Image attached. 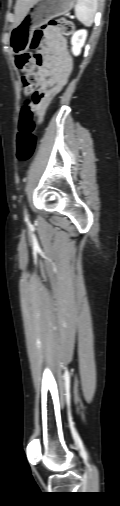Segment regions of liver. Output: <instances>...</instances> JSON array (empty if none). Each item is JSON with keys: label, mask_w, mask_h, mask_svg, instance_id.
I'll use <instances>...</instances> for the list:
<instances>
[{"label": "liver", "mask_w": 120, "mask_h": 506, "mask_svg": "<svg viewBox=\"0 0 120 506\" xmlns=\"http://www.w3.org/2000/svg\"><path fill=\"white\" fill-rule=\"evenodd\" d=\"M37 0H17L15 5V19L14 26L17 25L24 18L30 7L36 3Z\"/></svg>", "instance_id": "liver-1"}]
</instances>
